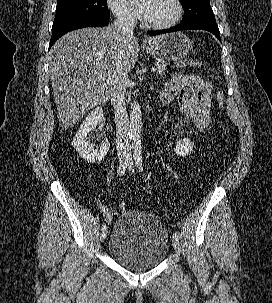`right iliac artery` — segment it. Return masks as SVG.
Returning a JSON list of instances; mask_svg holds the SVG:
<instances>
[{
  "label": "right iliac artery",
  "instance_id": "right-iliac-artery-1",
  "mask_svg": "<svg viewBox=\"0 0 272 303\" xmlns=\"http://www.w3.org/2000/svg\"><path fill=\"white\" fill-rule=\"evenodd\" d=\"M126 166L127 163H123L121 164L118 168H117V174L121 177L124 175L125 170H126ZM107 228V226L105 224L102 225L101 230H105Z\"/></svg>",
  "mask_w": 272,
  "mask_h": 303
}]
</instances>
